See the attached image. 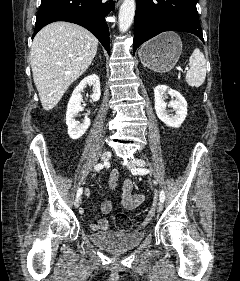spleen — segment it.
<instances>
[{
  "label": "spleen",
  "mask_w": 240,
  "mask_h": 281,
  "mask_svg": "<svg viewBox=\"0 0 240 281\" xmlns=\"http://www.w3.org/2000/svg\"><path fill=\"white\" fill-rule=\"evenodd\" d=\"M206 78V59L200 49H194L189 58V70L185 80L191 87H200Z\"/></svg>",
  "instance_id": "obj_1"
}]
</instances>
